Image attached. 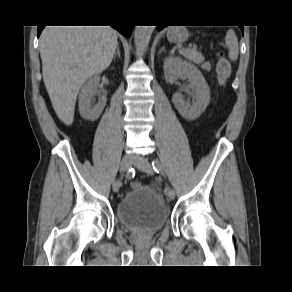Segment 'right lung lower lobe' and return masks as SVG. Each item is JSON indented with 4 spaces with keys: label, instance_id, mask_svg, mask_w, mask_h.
I'll return each mask as SVG.
<instances>
[{
    "label": "right lung lower lobe",
    "instance_id": "1",
    "mask_svg": "<svg viewBox=\"0 0 292 292\" xmlns=\"http://www.w3.org/2000/svg\"><path fill=\"white\" fill-rule=\"evenodd\" d=\"M45 26L41 27L38 26V36L40 35L41 31L43 30ZM115 29H117L121 34L124 36L130 37L131 36V31L133 26L128 25V24H117V25H112Z\"/></svg>",
    "mask_w": 292,
    "mask_h": 292
}]
</instances>
